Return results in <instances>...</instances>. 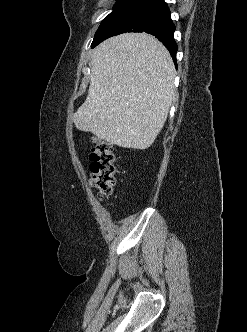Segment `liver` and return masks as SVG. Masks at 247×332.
Returning <instances> with one entry per match:
<instances>
[{
  "label": "liver",
  "instance_id": "liver-1",
  "mask_svg": "<svg viewBox=\"0 0 247 332\" xmlns=\"http://www.w3.org/2000/svg\"><path fill=\"white\" fill-rule=\"evenodd\" d=\"M175 74L169 51L155 37L125 33L107 39L93 50L76 128L123 148H149L167 119Z\"/></svg>",
  "mask_w": 247,
  "mask_h": 332
}]
</instances>
